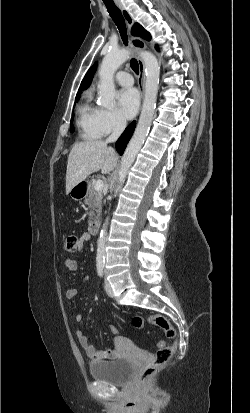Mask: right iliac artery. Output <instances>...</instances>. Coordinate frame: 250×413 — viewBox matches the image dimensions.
I'll return each instance as SVG.
<instances>
[{
  "label": "right iliac artery",
  "instance_id": "right-iliac-artery-1",
  "mask_svg": "<svg viewBox=\"0 0 250 413\" xmlns=\"http://www.w3.org/2000/svg\"><path fill=\"white\" fill-rule=\"evenodd\" d=\"M97 272H98V275L100 277H103V274H104V265L103 264H98L97 265Z\"/></svg>",
  "mask_w": 250,
  "mask_h": 413
}]
</instances>
